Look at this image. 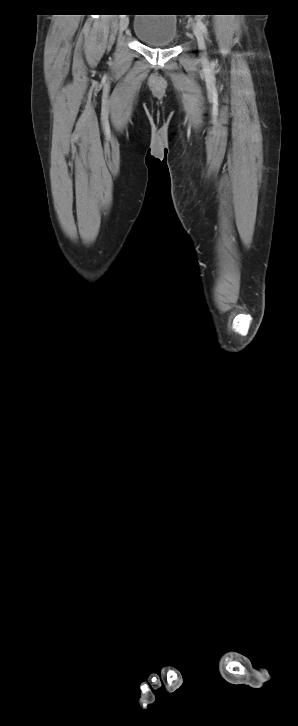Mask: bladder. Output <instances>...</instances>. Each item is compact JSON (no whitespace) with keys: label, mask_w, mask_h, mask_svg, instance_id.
Instances as JSON below:
<instances>
[{"label":"bladder","mask_w":298,"mask_h":726,"mask_svg":"<svg viewBox=\"0 0 298 726\" xmlns=\"http://www.w3.org/2000/svg\"><path fill=\"white\" fill-rule=\"evenodd\" d=\"M134 35L151 47L173 46L178 38L177 20L172 14H137Z\"/></svg>","instance_id":"31cf9c89"}]
</instances>
